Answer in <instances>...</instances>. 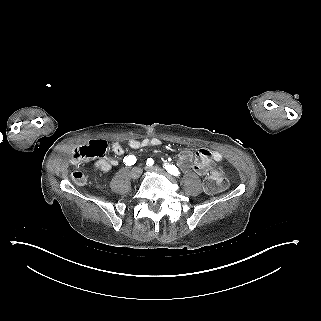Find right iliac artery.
<instances>
[{"label": "right iliac artery", "mask_w": 321, "mask_h": 321, "mask_svg": "<svg viewBox=\"0 0 321 321\" xmlns=\"http://www.w3.org/2000/svg\"><path fill=\"white\" fill-rule=\"evenodd\" d=\"M136 157L134 155H128L127 157L124 158L123 162L127 166L134 165L136 163Z\"/></svg>", "instance_id": "82829eb1"}]
</instances>
